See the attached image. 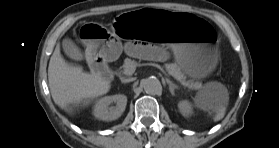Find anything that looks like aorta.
<instances>
[{"label":"aorta","mask_w":279,"mask_h":148,"mask_svg":"<svg viewBox=\"0 0 279 148\" xmlns=\"http://www.w3.org/2000/svg\"><path fill=\"white\" fill-rule=\"evenodd\" d=\"M143 87L146 93L157 95L162 92V85L156 77H149L144 80Z\"/></svg>","instance_id":"762f6f07"}]
</instances>
